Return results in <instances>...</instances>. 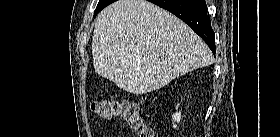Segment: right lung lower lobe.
<instances>
[{"label":"right lung lower lobe","instance_id":"right-lung-lower-lobe-1","mask_svg":"<svg viewBox=\"0 0 280 137\" xmlns=\"http://www.w3.org/2000/svg\"><path fill=\"white\" fill-rule=\"evenodd\" d=\"M173 13L196 32L215 54L214 31L211 28L205 0H148Z\"/></svg>","mask_w":280,"mask_h":137}]
</instances>
